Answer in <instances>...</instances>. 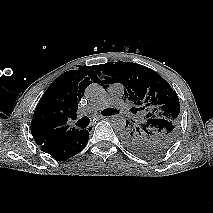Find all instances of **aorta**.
<instances>
[{
    "mask_svg": "<svg viewBox=\"0 0 213 213\" xmlns=\"http://www.w3.org/2000/svg\"><path fill=\"white\" fill-rule=\"evenodd\" d=\"M105 93L104 88L97 83L89 85L86 89V94L90 99H98ZM112 126L117 131H123L126 126V119L121 115H116L112 119Z\"/></svg>",
    "mask_w": 213,
    "mask_h": 213,
    "instance_id": "obj_1",
    "label": "aorta"
}]
</instances>
